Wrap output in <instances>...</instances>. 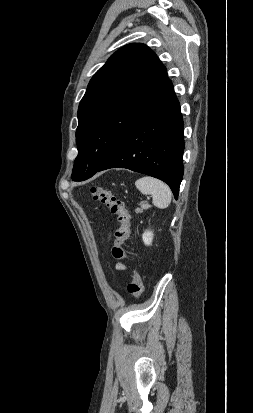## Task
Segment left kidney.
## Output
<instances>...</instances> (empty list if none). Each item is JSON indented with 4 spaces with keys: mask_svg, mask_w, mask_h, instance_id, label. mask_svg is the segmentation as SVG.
<instances>
[{
    "mask_svg": "<svg viewBox=\"0 0 253 413\" xmlns=\"http://www.w3.org/2000/svg\"><path fill=\"white\" fill-rule=\"evenodd\" d=\"M142 239L145 245L149 246L152 243L153 240V232L152 231H145L142 235Z\"/></svg>",
    "mask_w": 253,
    "mask_h": 413,
    "instance_id": "1",
    "label": "left kidney"
}]
</instances>
